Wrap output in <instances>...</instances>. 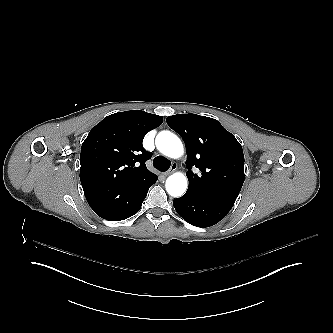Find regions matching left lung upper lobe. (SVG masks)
Instances as JSON below:
<instances>
[{
	"label": "left lung upper lobe",
	"instance_id": "left-lung-upper-lobe-1",
	"mask_svg": "<svg viewBox=\"0 0 333 333\" xmlns=\"http://www.w3.org/2000/svg\"><path fill=\"white\" fill-rule=\"evenodd\" d=\"M166 121L187 149L186 194L234 205L244 183L243 150L234 135L217 120L196 114L173 115ZM193 166L201 171L199 176L191 171Z\"/></svg>",
	"mask_w": 333,
	"mask_h": 333
}]
</instances>
